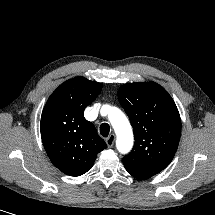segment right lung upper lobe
I'll use <instances>...</instances> for the list:
<instances>
[{
    "label": "right lung upper lobe",
    "mask_w": 215,
    "mask_h": 215,
    "mask_svg": "<svg viewBox=\"0 0 215 215\" xmlns=\"http://www.w3.org/2000/svg\"><path fill=\"white\" fill-rule=\"evenodd\" d=\"M101 89V83L84 77L67 80L43 109L40 129L44 148L54 166L69 176L90 170L97 154L107 147L83 115Z\"/></svg>",
    "instance_id": "obj_1"
}]
</instances>
